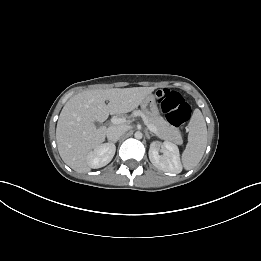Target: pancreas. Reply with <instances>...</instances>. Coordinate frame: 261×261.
<instances>
[{
    "label": "pancreas",
    "instance_id": "1",
    "mask_svg": "<svg viewBox=\"0 0 261 261\" xmlns=\"http://www.w3.org/2000/svg\"><path fill=\"white\" fill-rule=\"evenodd\" d=\"M133 115L142 117L145 123L153 125L157 128L156 135L166 141L173 142L181 145L183 143L179 129L169 124L168 121L163 119L160 115H147L140 110H135Z\"/></svg>",
    "mask_w": 261,
    "mask_h": 261
}]
</instances>
